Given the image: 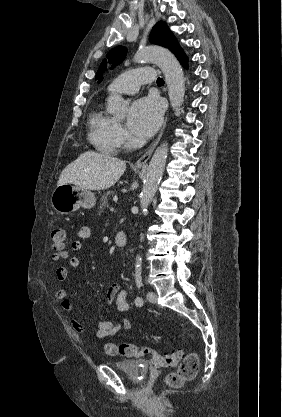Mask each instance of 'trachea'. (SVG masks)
<instances>
[{
  "label": "trachea",
  "mask_w": 282,
  "mask_h": 417,
  "mask_svg": "<svg viewBox=\"0 0 282 417\" xmlns=\"http://www.w3.org/2000/svg\"><path fill=\"white\" fill-rule=\"evenodd\" d=\"M164 80H163V78H158L157 79V85H164Z\"/></svg>",
  "instance_id": "trachea-1"
}]
</instances>
